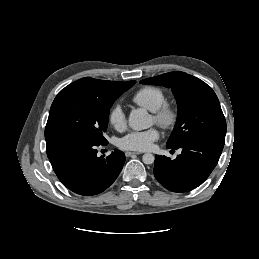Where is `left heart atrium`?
Returning a JSON list of instances; mask_svg holds the SVG:
<instances>
[{
    "mask_svg": "<svg viewBox=\"0 0 259 259\" xmlns=\"http://www.w3.org/2000/svg\"><path fill=\"white\" fill-rule=\"evenodd\" d=\"M159 138L156 128L144 131H134L119 140V146L125 150L146 151L149 150L154 141Z\"/></svg>",
    "mask_w": 259,
    "mask_h": 259,
    "instance_id": "39dd6f15",
    "label": "left heart atrium"
}]
</instances>
